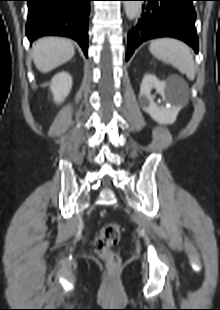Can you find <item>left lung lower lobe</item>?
I'll return each mask as SVG.
<instances>
[{"label":"left lung lower lobe","mask_w":220,"mask_h":310,"mask_svg":"<svg viewBox=\"0 0 220 310\" xmlns=\"http://www.w3.org/2000/svg\"><path fill=\"white\" fill-rule=\"evenodd\" d=\"M142 14L136 26L129 32L126 60L143 42L173 37L191 46L197 53L199 48L195 29L194 0H141Z\"/></svg>","instance_id":"0a47b994"}]
</instances>
